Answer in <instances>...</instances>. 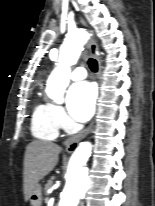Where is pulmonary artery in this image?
I'll use <instances>...</instances> for the list:
<instances>
[{
	"label": "pulmonary artery",
	"mask_w": 155,
	"mask_h": 206,
	"mask_svg": "<svg viewBox=\"0 0 155 206\" xmlns=\"http://www.w3.org/2000/svg\"><path fill=\"white\" fill-rule=\"evenodd\" d=\"M86 77V70L83 67H78L70 73L72 80H80Z\"/></svg>",
	"instance_id": "obj_1"
}]
</instances>
